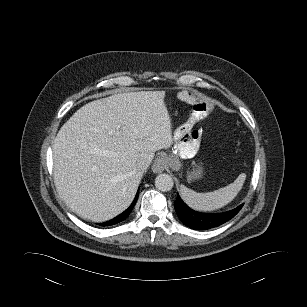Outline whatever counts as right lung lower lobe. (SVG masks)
I'll use <instances>...</instances> for the list:
<instances>
[{
  "instance_id": "1",
  "label": "right lung lower lobe",
  "mask_w": 307,
  "mask_h": 307,
  "mask_svg": "<svg viewBox=\"0 0 307 307\" xmlns=\"http://www.w3.org/2000/svg\"><path fill=\"white\" fill-rule=\"evenodd\" d=\"M138 195H139V191L137 192V195H136L134 201L132 202L131 206L127 210H125L123 213H121L120 215H118L114 219L109 220L107 222L100 223L99 225L103 226V227L112 226V225H115V224L125 220L128 217V215L131 213L132 209L134 208V205L137 201Z\"/></svg>"
}]
</instances>
